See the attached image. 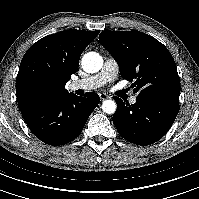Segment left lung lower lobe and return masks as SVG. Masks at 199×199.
Returning a JSON list of instances; mask_svg holds the SVG:
<instances>
[{"label":"left lung lower lobe","instance_id":"1","mask_svg":"<svg viewBox=\"0 0 199 199\" xmlns=\"http://www.w3.org/2000/svg\"><path fill=\"white\" fill-rule=\"evenodd\" d=\"M117 110L113 123L119 134L127 141L147 146L161 139L172 126L179 105L137 97L135 104L129 105L118 97H113Z\"/></svg>","mask_w":199,"mask_h":199}]
</instances>
